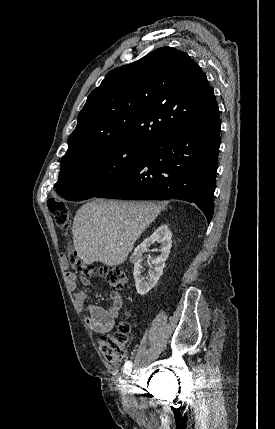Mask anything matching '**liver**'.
<instances>
[{
  "instance_id": "liver-1",
  "label": "liver",
  "mask_w": 275,
  "mask_h": 429,
  "mask_svg": "<svg viewBox=\"0 0 275 429\" xmlns=\"http://www.w3.org/2000/svg\"><path fill=\"white\" fill-rule=\"evenodd\" d=\"M162 202L95 199L81 206L72 233L76 252L85 264H122L135 242L159 215Z\"/></svg>"
}]
</instances>
